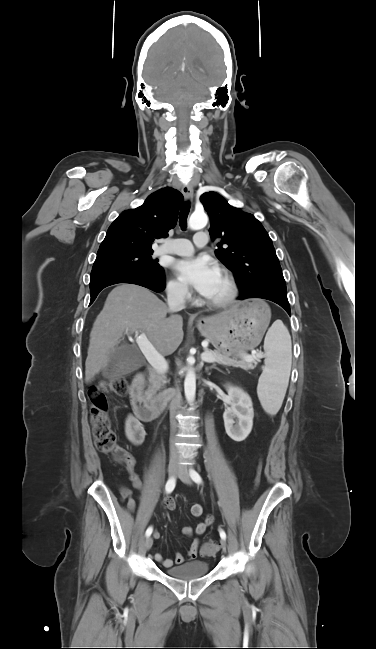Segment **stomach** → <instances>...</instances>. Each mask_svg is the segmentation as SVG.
Here are the masks:
<instances>
[{"instance_id": "obj_1", "label": "stomach", "mask_w": 376, "mask_h": 649, "mask_svg": "<svg viewBox=\"0 0 376 649\" xmlns=\"http://www.w3.org/2000/svg\"><path fill=\"white\" fill-rule=\"evenodd\" d=\"M270 322L263 301L237 302L229 311L197 321L202 336L219 352L235 354L259 345Z\"/></svg>"}]
</instances>
